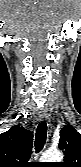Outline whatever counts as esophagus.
<instances>
[{"label":"esophagus","instance_id":"34e87169","mask_svg":"<svg viewBox=\"0 0 81 167\" xmlns=\"http://www.w3.org/2000/svg\"><path fill=\"white\" fill-rule=\"evenodd\" d=\"M39 117L42 121L50 122V114L47 111L40 112Z\"/></svg>","mask_w":81,"mask_h":167}]
</instances>
